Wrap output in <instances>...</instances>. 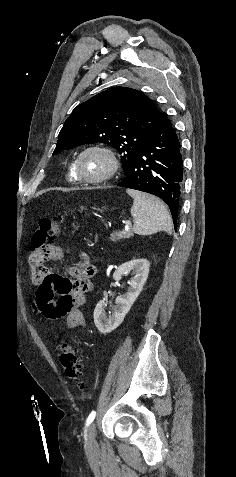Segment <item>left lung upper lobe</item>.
Instances as JSON below:
<instances>
[{
  "instance_id": "5c2ea615",
  "label": "left lung upper lobe",
  "mask_w": 236,
  "mask_h": 477,
  "mask_svg": "<svg viewBox=\"0 0 236 477\" xmlns=\"http://www.w3.org/2000/svg\"><path fill=\"white\" fill-rule=\"evenodd\" d=\"M162 114L141 91L114 87L78 105L65 121L53 154L83 144L105 143L121 155L124 173Z\"/></svg>"
}]
</instances>
